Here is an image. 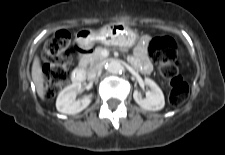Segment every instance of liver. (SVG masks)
Listing matches in <instances>:
<instances>
[{"label":"liver","mask_w":225,"mask_h":155,"mask_svg":"<svg viewBox=\"0 0 225 155\" xmlns=\"http://www.w3.org/2000/svg\"><path fill=\"white\" fill-rule=\"evenodd\" d=\"M31 74H32V80L36 87L37 94L39 95L41 99H44V95H45L44 85H43L44 78H43L42 68L40 65V60L37 56L34 58Z\"/></svg>","instance_id":"1"}]
</instances>
